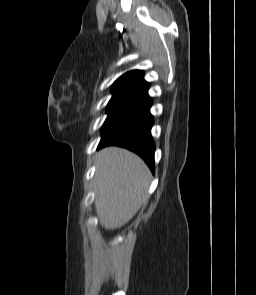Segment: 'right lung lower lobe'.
Listing matches in <instances>:
<instances>
[{"mask_svg":"<svg viewBox=\"0 0 256 295\" xmlns=\"http://www.w3.org/2000/svg\"><path fill=\"white\" fill-rule=\"evenodd\" d=\"M151 105L152 100L147 92L130 100L124 110L102 130L98 148L108 145L125 147L140 155L154 172Z\"/></svg>","mask_w":256,"mask_h":295,"instance_id":"1","label":"right lung lower lobe"}]
</instances>
